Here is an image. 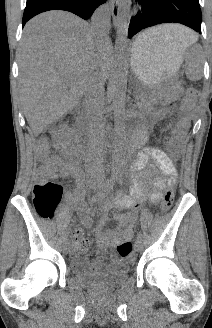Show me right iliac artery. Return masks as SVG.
Here are the masks:
<instances>
[{
  "label": "right iliac artery",
  "instance_id": "obj_1",
  "mask_svg": "<svg viewBox=\"0 0 212 328\" xmlns=\"http://www.w3.org/2000/svg\"><path fill=\"white\" fill-rule=\"evenodd\" d=\"M99 197H100V195H95V196H93V197L90 199L89 203H90V204H93L94 202H96V201L99 199ZM67 237H68V232L64 235L63 240L66 241V240H67Z\"/></svg>",
  "mask_w": 212,
  "mask_h": 328
}]
</instances>
